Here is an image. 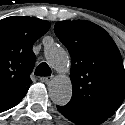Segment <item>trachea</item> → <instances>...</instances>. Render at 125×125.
I'll list each match as a JSON object with an SVG mask.
<instances>
[{
  "label": "trachea",
  "mask_w": 125,
  "mask_h": 125,
  "mask_svg": "<svg viewBox=\"0 0 125 125\" xmlns=\"http://www.w3.org/2000/svg\"><path fill=\"white\" fill-rule=\"evenodd\" d=\"M36 76H50L51 75V69L49 65L45 62H42L35 70Z\"/></svg>",
  "instance_id": "1"
}]
</instances>
